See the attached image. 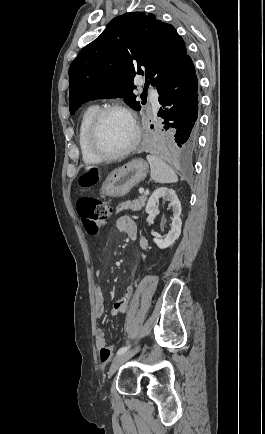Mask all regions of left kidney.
Instances as JSON below:
<instances>
[{"instance_id":"5707ae66","label":"left kidney","mask_w":265,"mask_h":434,"mask_svg":"<svg viewBox=\"0 0 265 434\" xmlns=\"http://www.w3.org/2000/svg\"><path fill=\"white\" fill-rule=\"evenodd\" d=\"M160 198L162 200H168L170 202L169 208H172L173 218H172V226L170 232H168L165 240H158V238H153V242L157 244L158 248L164 250V248H168V246H172L175 240H178L181 234V204L176 196V192L174 190H170V188H157L155 192H153L152 196H150L147 206H146V214H158L159 210H156V204L159 202Z\"/></svg>"}]
</instances>
